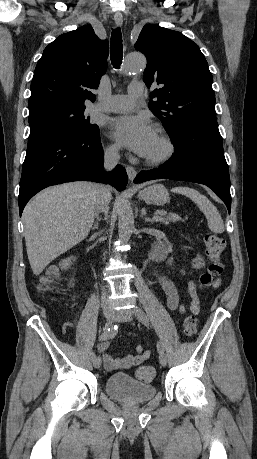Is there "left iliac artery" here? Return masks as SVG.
<instances>
[{
    "instance_id": "obj_1",
    "label": "left iliac artery",
    "mask_w": 257,
    "mask_h": 459,
    "mask_svg": "<svg viewBox=\"0 0 257 459\" xmlns=\"http://www.w3.org/2000/svg\"><path fill=\"white\" fill-rule=\"evenodd\" d=\"M135 313L141 323H143L146 326L149 325V319L142 309L136 307ZM157 350L159 353H164V348L161 342H157Z\"/></svg>"
}]
</instances>
